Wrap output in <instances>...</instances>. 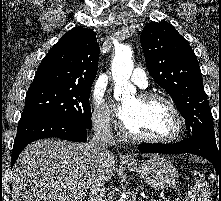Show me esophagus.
Listing matches in <instances>:
<instances>
[{"mask_svg": "<svg viewBox=\"0 0 221 201\" xmlns=\"http://www.w3.org/2000/svg\"><path fill=\"white\" fill-rule=\"evenodd\" d=\"M123 160L126 161V162H134L135 161V158L134 156L130 155V154H124L122 156Z\"/></svg>", "mask_w": 221, "mask_h": 201, "instance_id": "esophagus-1", "label": "esophagus"}]
</instances>
